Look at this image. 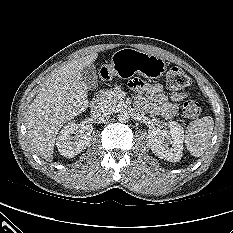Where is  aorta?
<instances>
[{"instance_id":"aorta-1","label":"aorta","mask_w":233,"mask_h":233,"mask_svg":"<svg viewBox=\"0 0 233 233\" xmlns=\"http://www.w3.org/2000/svg\"><path fill=\"white\" fill-rule=\"evenodd\" d=\"M129 119H130V116L127 111L123 110L118 113V120L121 123H126L129 121Z\"/></svg>"}]
</instances>
